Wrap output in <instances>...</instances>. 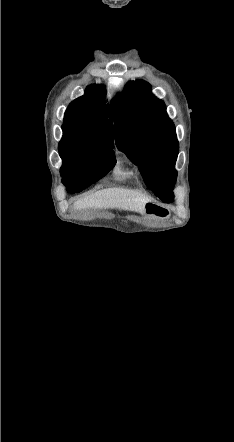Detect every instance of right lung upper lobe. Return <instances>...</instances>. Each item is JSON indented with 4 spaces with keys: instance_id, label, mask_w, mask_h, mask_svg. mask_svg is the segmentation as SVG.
Listing matches in <instances>:
<instances>
[{
    "instance_id": "right-lung-upper-lobe-1",
    "label": "right lung upper lobe",
    "mask_w": 234,
    "mask_h": 442,
    "mask_svg": "<svg viewBox=\"0 0 234 442\" xmlns=\"http://www.w3.org/2000/svg\"><path fill=\"white\" fill-rule=\"evenodd\" d=\"M102 85H91L85 94L75 99L64 115V127L90 144L111 145L114 147L112 121L109 106L104 100ZM106 116V117H105Z\"/></svg>"
}]
</instances>
